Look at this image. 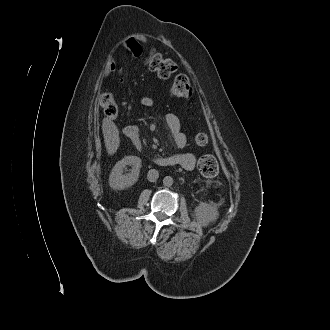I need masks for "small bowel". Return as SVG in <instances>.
<instances>
[{"mask_svg":"<svg viewBox=\"0 0 330 330\" xmlns=\"http://www.w3.org/2000/svg\"><path fill=\"white\" fill-rule=\"evenodd\" d=\"M124 48H126L134 57H139L142 54V46L140 42L135 38H128L123 42ZM107 71L109 73L117 71L118 74L122 75L124 73L123 69H118L116 67V61L114 56H110L107 62ZM142 105L145 107H151L153 105V99L151 97H144L141 100ZM166 125L172 134L176 146L184 150L187 144V139L185 134L181 129V123L179 118L174 114H168L165 118ZM171 164L178 165L185 170H192L195 166L196 158L190 152H180L167 157Z\"/></svg>","mask_w":330,"mask_h":330,"instance_id":"small-bowel-1","label":"small bowel"}]
</instances>
